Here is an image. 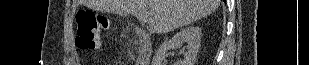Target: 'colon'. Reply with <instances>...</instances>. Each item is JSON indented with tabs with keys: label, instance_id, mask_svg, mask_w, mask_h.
<instances>
[{
	"label": "colon",
	"instance_id": "5ec220e1",
	"mask_svg": "<svg viewBox=\"0 0 309 65\" xmlns=\"http://www.w3.org/2000/svg\"><path fill=\"white\" fill-rule=\"evenodd\" d=\"M76 45L81 50H96L101 45L100 33L107 30L111 22L108 17L81 10L76 14Z\"/></svg>",
	"mask_w": 309,
	"mask_h": 65
}]
</instances>
